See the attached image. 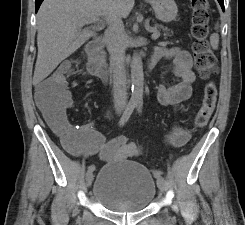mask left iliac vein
Returning <instances> with one entry per match:
<instances>
[{"label": "left iliac vein", "instance_id": "1", "mask_svg": "<svg viewBox=\"0 0 245 225\" xmlns=\"http://www.w3.org/2000/svg\"><path fill=\"white\" fill-rule=\"evenodd\" d=\"M157 186L158 188L163 192L166 189V181L163 177L159 178L157 180Z\"/></svg>", "mask_w": 245, "mask_h": 225}]
</instances>
